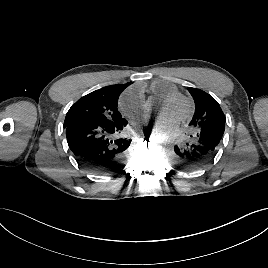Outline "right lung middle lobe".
I'll list each match as a JSON object with an SVG mask.
<instances>
[{
  "label": "right lung middle lobe",
  "instance_id": "right-lung-middle-lobe-1",
  "mask_svg": "<svg viewBox=\"0 0 268 268\" xmlns=\"http://www.w3.org/2000/svg\"><path fill=\"white\" fill-rule=\"evenodd\" d=\"M121 92L107 86L83 96L67 112L64 127L77 121L111 125L122 120L117 108Z\"/></svg>",
  "mask_w": 268,
  "mask_h": 268
}]
</instances>
